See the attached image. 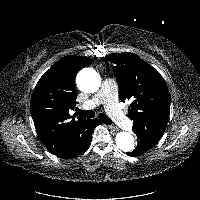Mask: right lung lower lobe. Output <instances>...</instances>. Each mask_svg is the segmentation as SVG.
Segmentation results:
<instances>
[{"label": "right lung lower lobe", "mask_w": 200, "mask_h": 200, "mask_svg": "<svg viewBox=\"0 0 200 200\" xmlns=\"http://www.w3.org/2000/svg\"><path fill=\"white\" fill-rule=\"evenodd\" d=\"M98 124H100V121L96 118L93 120H87L76 133L71 145L55 155L63 159H69L85 151L91 142L94 128Z\"/></svg>", "instance_id": "1"}]
</instances>
